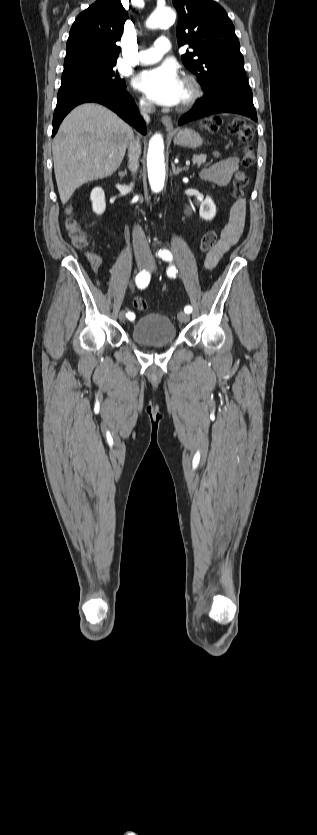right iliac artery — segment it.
<instances>
[{
    "label": "right iliac artery",
    "mask_w": 317,
    "mask_h": 835,
    "mask_svg": "<svg viewBox=\"0 0 317 835\" xmlns=\"http://www.w3.org/2000/svg\"><path fill=\"white\" fill-rule=\"evenodd\" d=\"M136 285L140 289H144L150 282V273L146 270L140 271L135 278ZM126 316L129 319H134V313L128 312Z\"/></svg>",
    "instance_id": "82829eb1"
}]
</instances>
